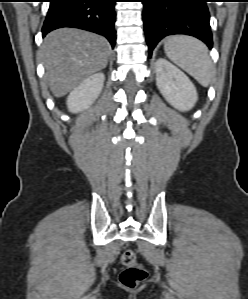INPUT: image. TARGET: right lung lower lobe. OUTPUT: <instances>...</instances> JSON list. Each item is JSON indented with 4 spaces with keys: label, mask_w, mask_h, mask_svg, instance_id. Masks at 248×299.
Returning <instances> with one entry per match:
<instances>
[{
    "label": "right lung lower lobe",
    "mask_w": 248,
    "mask_h": 299,
    "mask_svg": "<svg viewBox=\"0 0 248 299\" xmlns=\"http://www.w3.org/2000/svg\"><path fill=\"white\" fill-rule=\"evenodd\" d=\"M116 0H50L42 28L43 36L61 27H74L95 32L115 45Z\"/></svg>",
    "instance_id": "obj_1"
}]
</instances>
